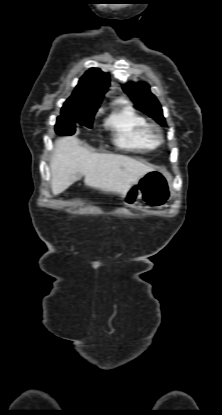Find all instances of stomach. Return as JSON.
<instances>
[{
  "mask_svg": "<svg viewBox=\"0 0 222 415\" xmlns=\"http://www.w3.org/2000/svg\"><path fill=\"white\" fill-rule=\"evenodd\" d=\"M173 195L172 177L163 169H154L137 180L123 196L125 205L134 206L143 200L148 206L160 208Z\"/></svg>",
  "mask_w": 222,
  "mask_h": 415,
  "instance_id": "obj_1",
  "label": "stomach"
}]
</instances>
